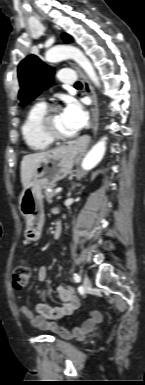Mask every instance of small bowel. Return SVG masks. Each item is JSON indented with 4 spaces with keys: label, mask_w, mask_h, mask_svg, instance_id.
I'll use <instances>...</instances> for the list:
<instances>
[{
    "label": "small bowel",
    "mask_w": 145,
    "mask_h": 385,
    "mask_svg": "<svg viewBox=\"0 0 145 385\" xmlns=\"http://www.w3.org/2000/svg\"><path fill=\"white\" fill-rule=\"evenodd\" d=\"M38 284L47 278V269L42 266L37 271ZM58 295L62 304L50 306L45 303H38L34 307L23 305L21 312L28 318L29 322L41 330H49L58 334L64 339H81L85 334L93 332L97 325L102 321V314L99 311H90L87 319L81 324L73 326L71 329L62 326L61 320L74 314L80 307L81 301L75 295L72 288L60 286Z\"/></svg>",
    "instance_id": "1"
}]
</instances>
